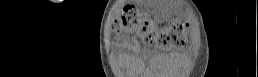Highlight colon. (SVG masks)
<instances>
[{
	"label": "colon",
	"mask_w": 258,
	"mask_h": 77,
	"mask_svg": "<svg viewBox=\"0 0 258 77\" xmlns=\"http://www.w3.org/2000/svg\"><path fill=\"white\" fill-rule=\"evenodd\" d=\"M115 31L134 30L148 44H158L164 48L179 44L182 40L184 25L172 24L157 31L151 18L141 16L132 8H125L113 23Z\"/></svg>",
	"instance_id": "obj_1"
}]
</instances>
